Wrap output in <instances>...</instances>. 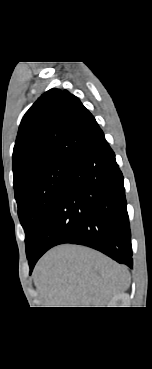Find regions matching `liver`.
Listing matches in <instances>:
<instances>
[{"instance_id": "liver-1", "label": "liver", "mask_w": 152, "mask_h": 369, "mask_svg": "<svg viewBox=\"0 0 152 369\" xmlns=\"http://www.w3.org/2000/svg\"><path fill=\"white\" fill-rule=\"evenodd\" d=\"M34 283L48 307H102L129 288L130 274L93 249L61 245L38 262Z\"/></svg>"}]
</instances>
